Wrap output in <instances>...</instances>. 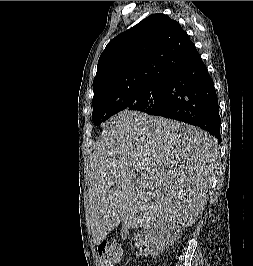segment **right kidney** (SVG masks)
I'll list each match as a JSON object with an SVG mask.
<instances>
[{"label": "right kidney", "instance_id": "obj_1", "mask_svg": "<svg viewBox=\"0 0 253 266\" xmlns=\"http://www.w3.org/2000/svg\"><path fill=\"white\" fill-rule=\"evenodd\" d=\"M180 227L172 222L143 227L134 234L133 240L141 255L161 254L179 238Z\"/></svg>", "mask_w": 253, "mask_h": 266}]
</instances>
